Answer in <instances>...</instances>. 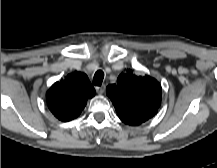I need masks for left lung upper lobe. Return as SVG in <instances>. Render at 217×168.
<instances>
[{
    "label": "left lung upper lobe",
    "instance_id": "5c2ea615",
    "mask_svg": "<svg viewBox=\"0 0 217 168\" xmlns=\"http://www.w3.org/2000/svg\"><path fill=\"white\" fill-rule=\"evenodd\" d=\"M118 117L125 124L140 125L160 107L161 86L150 76H136L131 69L121 73L116 84L107 86Z\"/></svg>",
    "mask_w": 217,
    "mask_h": 168
}]
</instances>
